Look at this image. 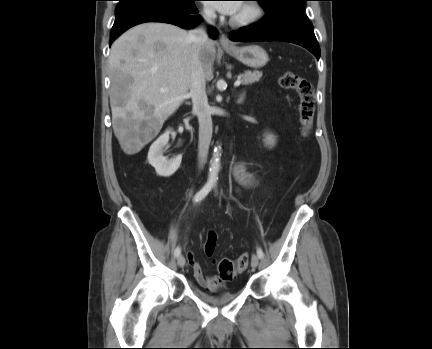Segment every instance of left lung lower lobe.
Wrapping results in <instances>:
<instances>
[{"label": "left lung lower lobe", "mask_w": 432, "mask_h": 349, "mask_svg": "<svg viewBox=\"0 0 432 349\" xmlns=\"http://www.w3.org/2000/svg\"><path fill=\"white\" fill-rule=\"evenodd\" d=\"M232 41H284L301 45L320 57L313 25L304 13L274 9L259 23L231 32Z\"/></svg>", "instance_id": "obj_1"}]
</instances>
